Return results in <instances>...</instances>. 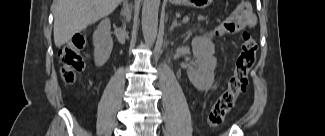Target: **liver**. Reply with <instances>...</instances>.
Listing matches in <instances>:
<instances>
[{"label": "liver", "instance_id": "obj_1", "mask_svg": "<svg viewBox=\"0 0 325 136\" xmlns=\"http://www.w3.org/2000/svg\"><path fill=\"white\" fill-rule=\"evenodd\" d=\"M121 0H54V43L57 47L102 17L111 14Z\"/></svg>", "mask_w": 325, "mask_h": 136}]
</instances>
